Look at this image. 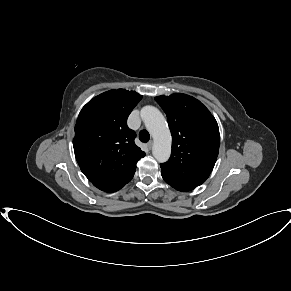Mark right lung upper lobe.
Masks as SVG:
<instances>
[{
    "instance_id": "right-lung-upper-lobe-1",
    "label": "right lung upper lobe",
    "mask_w": 291,
    "mask_h": 291,
    "mask_svg": "<svg viewBox=\"0 0 291 291\" xmlns=\"http://www.w3.org/2000/svg\"><path fill=\"white\" fill-rule=\"evenodd\" d=\"M142 99L135 91L110 90L89 101L75 125L73 147L89 181L121 179L145 156L134 143L136 134L127 118Z\"/></svg>"
}]
</instances>
